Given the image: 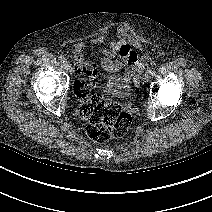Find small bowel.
I'll use <instances>...</instances> for the list:
<instances>
[{
  "label": "small bowel",
  "mask_w": 212,
  "mask_h": 212,
  "mask_svg": "<svg viewBox=\"0 0 212 212\" xmlns=\"http://www.w3.org/2000/svg\"><path fill=\"white\" fill-rule=\"evenodd\" d=\"M107 31H102L98 36L92 38L88 44L77 43L73 47V54L82 56L86 49L102 44L106 39ZM141 46L130 37L128 30L122 27L118 31V39L109 43L104 49V56L100 60V65L107 71L124 70L126 81H138L140 73L149 64H152L158 56H149L140 53Z\"/></svg>",
  "instance_id": "small-bowel-1"
}]
</instances>
